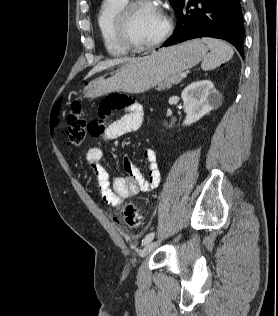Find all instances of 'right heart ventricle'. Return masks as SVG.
I'll return each mask as SVG.
<instances>
[{"label": "right heart ventricle", "instance_id": "right-heart-ventricle-1", "mask_svg": "<svg viewBox=\"0 0 278 316\" xmlns=\"http://www.w3.org/2000/svg\"><path fill=\"white\" fill-rule=\"evenodd\" d=\"M129 0H103L97 15V26L107 52L122 56L128 48L120 41L116 31V18Z\"/></svg>", "mask_w": 278, "mask_h": 316}]
</instances>
